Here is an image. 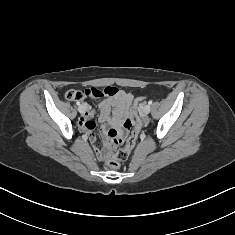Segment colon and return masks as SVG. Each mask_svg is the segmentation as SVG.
I'll return each mask as SVG.
<instances>
[{
	"label": "colon",
	"mask_w": 235,
	"mask_h": 235,
	"mask_svg": "<svg viewBox=\"0 0 235 235\" xmlns=\"http://www.w3.org/2000/svg\"><path fill=\"white\" fill-rule=\"evenodd\" d=\"M114 93L111 87H106L104 89L98 88H87L83 91L71 90L67 92L66 98L69 101H78L83 96L87 97H104L109 96ZM143 97H139L134 101V114L132 117H127L123 121V127L125 131H129L132 127L133 129L126 136L125 133H117L114 129H110L107 132V142L108 146L102 151L106 165L115 169L119 166L121 161L126 160L133 148L135 147L137 137L140 131V120L138 118V107L144 102ZM124 143L122 148H117L118 145ZM100 152V151H99Z\"/></svg>",
	"instance_id": "1"
}]
</instances>
